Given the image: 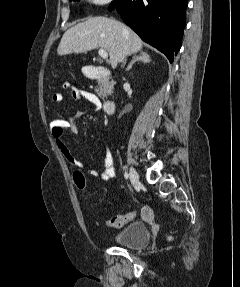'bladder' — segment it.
Here are the masks:
<instances>
[{"label":"bladder","instance_id":"bladder-1","mask_svg":"<svg viewBox=\"0 0 240 287\" xmlns=\"http://www.w3.org/2000/svg\"><path fill=\"white\" fill-rule=\"evenodd\" d=\"M113 241L131 249H139L146 246L150 241L147 226L141 222L130 223L123 227L113 236Z\"/></svg>","mask_w":240,"mask_h":287}]
</instances>
